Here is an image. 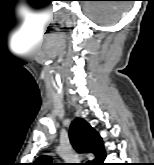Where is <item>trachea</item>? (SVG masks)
Segmentation results:
<instances>
[{
	"label": "trachea",
	"mask_w": 154,
	"mask_h": 165,
	"mask_svg": "<svg viewBox=\"0 0 154 165\" xmlns=\"http://www.w3.org/2000/svg\"><path fill=\"white\" fill-rule=\"evenodd\" d=\"M84 165H89L90 163L89 162H87V163H83Z\"/></svg>",
	"instance_id": "obj_1"
}]
</instances>
